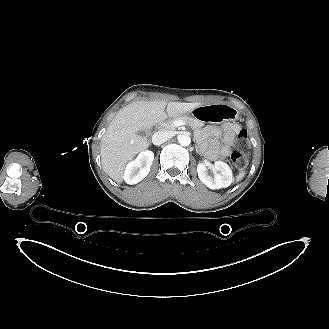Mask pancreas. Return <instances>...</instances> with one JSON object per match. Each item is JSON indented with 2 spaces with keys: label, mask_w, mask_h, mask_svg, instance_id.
I'll use <instances>...</instances> for the list:
<instances>
[{
  "label": "pancreas",
  "mask_w": 329,
  "mask_h": 329,
  "mask_svg": "<svg viewBox=\"0 0 329 329\" xmlns=\"http://www.w3.org/2000/svg\"><path fill=\"white\" fill-rule=\"evenodd\" d=\"M176 121H182L185 124L190 125L193 129H196V128H198L200 126V121L199 120H197V119H195L193 117H190V116L183 115V116L174 117V118L169 119L164 124V127L167 128V129H173L175 127L174 126V123Z\"/></svg>",
  "instance_id": "pancreas-1"
}]
</instances>
